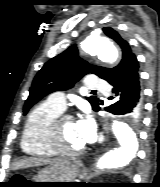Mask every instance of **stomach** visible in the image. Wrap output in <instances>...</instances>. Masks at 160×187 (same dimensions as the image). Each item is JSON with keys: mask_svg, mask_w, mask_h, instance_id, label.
I'll return each mask as SVG.
<instances>
[{"mask_svg": "<svg viewBox=\"0 0 160 187\" xmlns=\"http://www.w3.org/2000/svg\"><path fill=\"white\" fill-rule=\"evenodd\" d=\"M81 165L73 158L58 159L41 169L32 182H72ZM67 183H34L36 187H55Z\"/></svg>", "mask_w": 160, "mask_h": 187, "instance_id": "obj_1", "label": "stomach"}]
</instances>
